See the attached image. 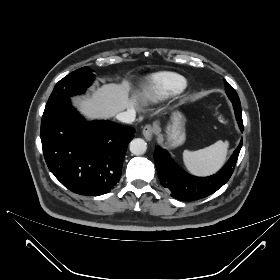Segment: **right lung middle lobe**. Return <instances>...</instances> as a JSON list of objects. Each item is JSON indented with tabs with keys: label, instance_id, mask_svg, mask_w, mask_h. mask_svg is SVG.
<instances>
[{
	"label": "right lung middle lobe",
	"instance_id": "right-lung-middle-lobe-1",
	"mask_svg": "<svg viewBox=\"0 0 280 280\" xmlns=\"http://www.w3.org/2000/svg\"><path fill=\"white\" fill-rule=\"evenodd\" d=\"M89 67H82L61 79L53 89L46 106L59 100L70 99L71 96L83 93L94 80Z\"/></svg>",
	"mask_w": 280,
	"mask_h": 280
}]
</instances>
